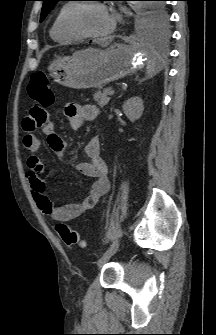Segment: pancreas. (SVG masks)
<instances>
[{
    "label": "pancreas",
    "instance_id": "1",
    "mask_svg": "<svg viewBox=\"0 0 216 335\" xmlns=\"http://www.w3.org/2000/svg\"><path fill=\"white\" fill-rule=\"evenodd\" d=\"M111 91V88H105L102 91H97L94 94V101L101 107L103 108L108 104L110 101V97H108L109 92Z\"/></svg>",
    "mask_w": 216,
    "mask_h": 335
}]
</instances>
